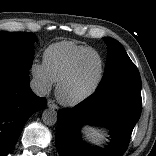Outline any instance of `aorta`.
<instances>
[{"instance_id": "1", "label": "aorta", "mask_w": 156, "mask_h": 156, "mask_svg": "<svg viewBox=\"0 0 156 156\" xmlns=\"http://www.w3.org/2000/svg\"><path fill=\"white\" fill-rule=\"evenodd\" d=\"M57 112L54 109H46L42 113V120L44 124L52 126L57 122Z\"/></svg>"}]
</instances>
